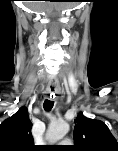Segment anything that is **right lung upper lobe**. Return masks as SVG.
Returning <instances> with one entry per match:
<instances>
[{
  "label": "right lung upper lobe",
  "mask_w": 118,
  "mask_h": 151,
  "mask_svg": "<svg viewBox=\"0 0 118 151\" xmlns=\"http://www.w3.org/2000/svg\"><path fill=\"white\" fill-rule=\"evenodd\" d=\"M28 110L21 107L0 125V151H31L35 149Z\"/></svg>",
  "instance_id": "right-lung-upper-lobe-1"
}]
</instances>
